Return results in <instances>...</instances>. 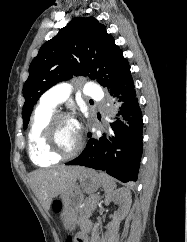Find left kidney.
<instances>
[{
	"mask_svg": "<svg viewBox=\"0 0 187 242\" xmlns=\"http://www.w3.org/2000/svg\"><path fill=\"white\" fill-rule=\"evenodd\" d=\"M115 202L119 205L118 211L115 213L114 220L107 226V233L100 237L99 224H95L92 230L91 242H113L119 231L120 222L126 217L132 203L130 190L119 188L113 191L105 198V204L109 205Z\"/></svg>",
	"mask_w": 187,
	"mask_h": 242,
	"instance_id": "5707ae66",
	"label": "left kidney"
}]
</instances>
